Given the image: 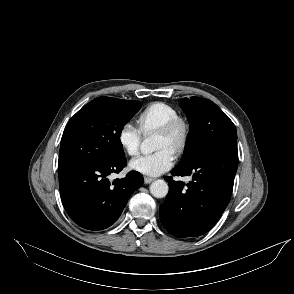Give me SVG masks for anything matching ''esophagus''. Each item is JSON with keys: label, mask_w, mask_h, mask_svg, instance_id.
Wrapping results in <instances>:
<instances>
[{"label": "esophagus", "mask_w": 294, "mask_h": 294, "mask_svg": "<svg viewBox=\"0 0 294 294\" xmlns=\"http://www.w3.org/2000/svg\"><path fill=\"white\" fill-rule=\"evenodd\" d=\"M154 180H155V178H152V177H144V183L145 184H149Z\"/></svg>", "instance_id": "obj_1"}]
</instances>
